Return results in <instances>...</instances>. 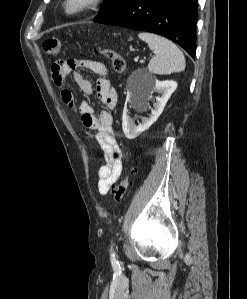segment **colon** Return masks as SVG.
<instances>
[{"label": "colon", "instance_id": "obj_1", "mask_svg": "<svg viewBox=\"0 0 247 299\" xmlns=\"http://www.w3.org/2000/svg\"><path fill=\"white\" fill-rule=\"evenodd\" d=\"M43 49L49 55H57L61 49V42L56 38L45 39L43 41ZM96 52L111 62L112 68L116 73H123L125 71V58L117 51L112 49H97ZM131 173L132 171H129L113 190V197L116 202H121L125 199L126 192L130 185Z\"/></svg>", "mask_w": 247, "mask_h": 299}]
</instances>
